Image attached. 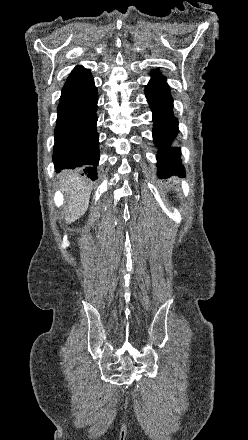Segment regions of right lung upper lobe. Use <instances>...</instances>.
<instances>
[{
	"mask_svg": "<svg viewBox=\"0 0 248 440\" xmlns=\"http://www.w3.org/2000/svg\"><path fill=\"white\" fill-rule=\"evenodd\" d=\"M93 79L92 74L89 69H85L82 66H77L73 69L71 74L69 75L65 86L62 90L74 88L77 86H81L83 84L88 83Z\"/></svg>",
	"mask_w": 248,
	"mask_h": 440,
	"instance_id": "1",
	"label": "right lung upper lobe"
}]
</instances>
